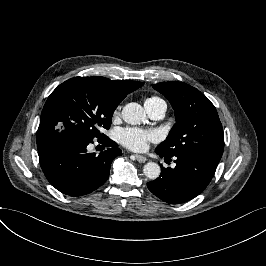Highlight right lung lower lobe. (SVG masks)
Here are the masks:
<instances>
[{
  "instance_id": "1",
  "label": "right lung lower lobe",
  "mask_w": 266,
  "mask_h": 266,
  "mask_svg": "<svg viewBox=\"0 0 266 266\" xmlns=\"http://www.w3.org/2000/svg\"><path fill=\"white\" fill-rule=\"evenodd\" d=\"M109 147L96 156L88 153L87 141L73 137H59L38 148L41 168L48 181L60 192L81 196L99 188L109 177L112 160L122 151L118 145L103 137Z\"/></svg>"
}]
</instances>
